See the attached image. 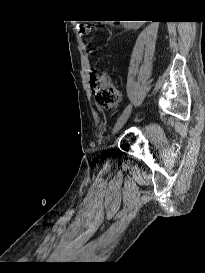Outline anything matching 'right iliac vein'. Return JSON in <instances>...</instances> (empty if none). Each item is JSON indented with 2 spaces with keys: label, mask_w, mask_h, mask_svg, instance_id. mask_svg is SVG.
I'll list each match as a JSON object with an SVG mask.
<instances>
[{
  "label": "right iliac vein",
  "mask_w": 205,
  "mask_h": 273,
  "mask_svg": "<svg viewBox=\"0 0 205 273\" xmlns=\"http://www.w3.org/2000/svg\"><path fill=\"white\" fill-rule=\"evenodd\" d=\"M130 115H131V109L120 115V117L117 119V121L114 125V128L112 130V136H114L116 133H118L123 128V126L125 125V123L129 119Z\"/></svg>",
  "instance_id": "obj_1"
}]
</instances>
